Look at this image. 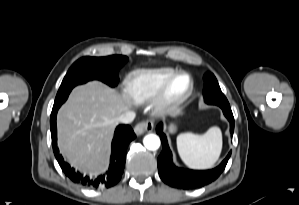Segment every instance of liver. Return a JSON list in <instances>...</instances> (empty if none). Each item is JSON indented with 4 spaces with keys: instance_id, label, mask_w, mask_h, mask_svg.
Masks as SVG:
<instances>
[{
    "instance_id": "6515ba94",
    "label": "liver",
    "mask_w": 299,
    "mask_h": 205,
    "mask_svg": "<svg viewBox=\"0 0 299 205\" xmlns=\"http://www.w3.org/2000/svg\"><path fill=\"white\" fill-rule=\"evenodd\" d=\"M127 96L99 81L77 86L57 116L62 155L83 173L104 167L118 117L129 110Z\"/></svg>"
}]
</instances>
